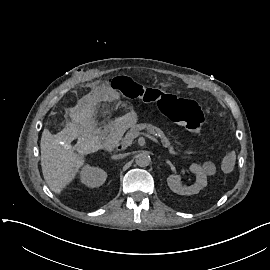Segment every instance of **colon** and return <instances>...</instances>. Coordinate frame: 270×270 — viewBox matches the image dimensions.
Listing matches in <instances>:
<instances>
[{"mask_svg":"<svg viewBox=\"0 0 270 270\" xmlns=\"http://www.w3.org/2000/svg\"><path fill=\"white\" fill-rule=\"evenodd\" d=\"M110 86L130 99H141L146 104H157L163 115L188 131L197 132L203 129L204 116L198 104L192 99L144 87L126 76L112 78ZM219 170L224 175L233 174L236 170L235 156L231 153L222 154L219 158Z\"/></svg>","mask_w":270,"mask_h":270,"instance_id":"1","label":"colon"}]
</instances>
